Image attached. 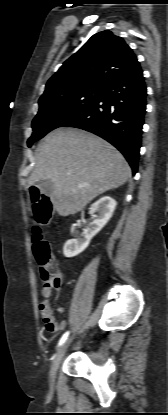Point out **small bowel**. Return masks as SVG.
I'll return each mask as SVG.
<instances>
[{"instance_id": "c3829d8e", "label": "small bowel", "mask_w": 168, "mask_h": 415, "mask_svg": "<svg viewBox=\"0 0 168 415\" xmlns=\"http://www.w3.org/2000/svg\"><path fill=\"white\" fill-rule=\"evenodd\" d=\"M60 289V282L56 286H50L47 284H44L41 290V294L43 296V301L39 305V310L42 315L43 321L49 331H59L62 330L66 326V322L64 320L62 321H56L52 307L50 305V297L52 295V291L56 290L58 291ZM59 312H64V307L59 306L57 308Z\"/></svg>"}]
</instances>
